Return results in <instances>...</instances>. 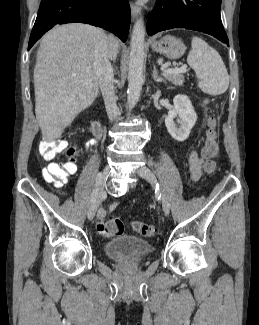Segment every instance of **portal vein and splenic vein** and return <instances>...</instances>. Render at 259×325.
Segmentation results:
<instances>
[{
	"instance_id": "obj_1",
	"label": "portal vein and splenic vein",
	"mask_w": 259,
	"mask_h": 325,
	"mask_svg": "<svg viewBox=\"0 0 259 325\" xmlns=\"http://www.w3.org/2000/svg\"><path fill=\"white\" fill-rule=\"evenodd\" d=\"M187 69V65H182L181 67H176V68H166L162 67L163 73H182L185 72Z\"/></svg>"
}]
</instances>
